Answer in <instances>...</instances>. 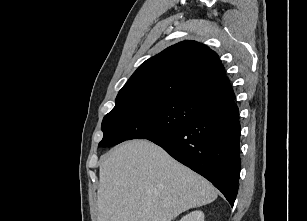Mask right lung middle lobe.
I'll return each instance as SVG.
<instances>
[{"instance_id": "1", "label": "right lung middle lobe", "mask_w": 307, "mask_h": 221, "mask_svg": "<svg viewBox=\"0 0 307 221\" xmlns=\"http://www.w3.org/2000/svg\"><path fill=\"white\" fill-rule=\"evenodd\" d=\"M206 107L185 100L135 98L116 102L105 115L99 147H110L130 139H149L177 130L195 119Z\"/></svg>"}]
</instances>
